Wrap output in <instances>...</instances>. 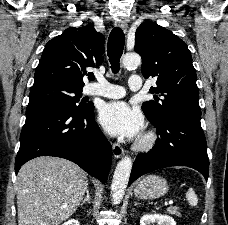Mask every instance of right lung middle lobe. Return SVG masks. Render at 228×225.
<instances>
[{
  "mask_svg": "<svg viewBox=\"0 0 228 225\" xmlns=\"http://www.w3.org/2000/svg\"><path fill=\"white\" fill-rule=\"evenodd\" d=\"M82 88L59 82H48L33 85L30 91L27 109L46 104H63L76 110H85L91 104L80 103ZM83 102V100H82Z\"/></svg>",
  "mask_w": 228,
  "mask_h": 225,
  "instance_id": "1",
  "label": "right lung middle lobe"
}]
</instances>
